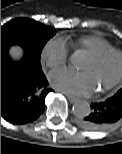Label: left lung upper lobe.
<instances>
[{
  "label": "left lung upper lobe",
  "instance_id": "5c2ea615",
  "mask_svg": "<svg viewBox=\"0 0 122 154\" xmlns=\"http://www.w3.org/2000/svg\"><path fill=\"white\" fill-rule=\"evenodd\" d=\"M114 96L122 97V89H120Z\"/></svg>",
  "mask_w": 122,
  "mask_h": 154
}]
</instances>
